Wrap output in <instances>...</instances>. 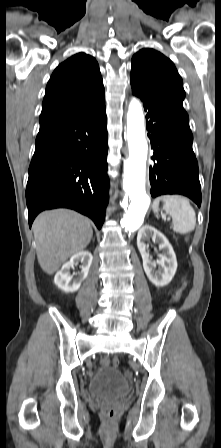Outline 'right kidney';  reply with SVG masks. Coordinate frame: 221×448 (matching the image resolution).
Wrapping results in <instances>:
<instances>
[{
    "label": "right kidney",
    "mask_w": 221,
    "mask_h": 448,
    "mask_svg": "<svg viewBox=\"0 0 221 448\" xmlns=\"http://www.w3.org/2000/svg\"><path fill=\"white\" fill-rule=\"evenodd\" d=\"M92 259V254L89 251H80L74 254L70 261L65 263L61 270L56 273L54 277L55 285L65 292L77 291L80 288L81 283L88 276ZM79 262L82 263L80 266L81 272L78 273V277L76 279H73V275L70 274V269L74 268V266Z\"/></svg>",
    "instance_id": "obj_1"
}]
</instances>
